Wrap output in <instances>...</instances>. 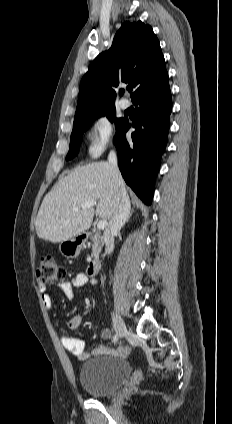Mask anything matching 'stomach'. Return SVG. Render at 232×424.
<instances>
[{"label":"stomach","mask_w":232,"mask_h":424,"mask_svg":"<svg viewBox=\"0 0 232 424\" xmlns=\"http://www.w3.org/2000/svg\"><path fill=\"white\" fill-rule=\"evenodd\" d=\"M85 241L86 239L81 236L72 237L62 241L59 245V250L67 258H76L80 254Z\"/></svg>","instance_id":"obj_1"}]
</instances>
